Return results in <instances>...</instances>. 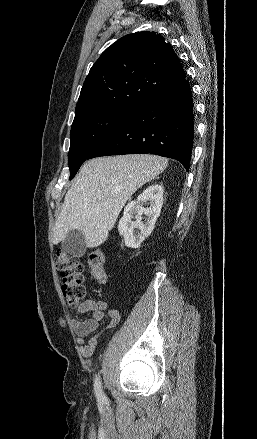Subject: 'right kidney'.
<instances>
[{
    "label": "right kidney",
    "mask_w": 257,
    "mask_h": 439,
    "mask_svg": "<svg viewBox=\"0 0 257 439\" xmlns=\"http://www.w3.org/2000/svg\"><path fill=\"white\" fill-rule=\"evenodd\" d=\"M144 204L148 206L144 207ZM162 204L163 187L159 184L148 186L136 200L127 204L118 224L119 234L124 237L127 247H140L145 238L151 234L160 215ZM143 214L146 216L145 222H142ZM135 228L138 230L134 231Z\"/></svg>",
    "instance_id": "ca27d5eb"
}]
</instances>
